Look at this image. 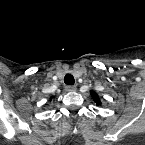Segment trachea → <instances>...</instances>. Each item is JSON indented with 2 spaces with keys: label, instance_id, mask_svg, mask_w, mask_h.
I'll return each instance as SVG.
<instances>
[{
  "label": "trachea",
  "instance_id": "obj_1",
  "mask_svg": "<svg viewBox=\"0 0 145 145\" xmlns=\"http://www.w3.org/2000/svg\"><path fill=\"white\" fill-rule=\"evenodd\" d=\"M64 82L67 85H73L75 83L74 77L71 74H66L64 77Z\"/></svg>",
  "mask_w": 145,
  "mask_h": 145
}]
</instances>
